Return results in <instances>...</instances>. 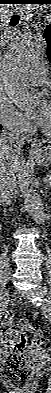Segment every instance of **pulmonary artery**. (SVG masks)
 I'll return each instance as SVG.
<instances>
[{
    "mask_svg": "<svg viewBox=\"0 0 51 393\" xmlns=\"http://www.w3.org/2000/svg\"><path fill=\"white\" fill-rule=\"evenodd\" d=\"M44 64H35L26 75L27 80L33 85H39L46 80Z\"/></svg>",
    "mask_w": 51,
    "mask_h": 393,
    "instance_id": "1",
    "label": "pulmonary artery"
}]
</instances>
